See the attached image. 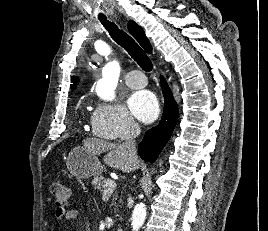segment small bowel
Returning <instances> with one entry per match:
<instances>
[{
	"label": "small bowel",
	"mask_w": 268,
	"mask_h": 231,
	"mask_svg": "<svg viewBox=\"0 0 268 231\" xmlns=\"http://www.w3.org/2000/svg\"><path fill=\"white\" fill-rule=\"evenodd\" d=\"M79 216V212L76 208H57L55 210V217L58 221L60 222H65V221H73L76 220Z\"/></svg>",
	"instance_id": "obj_1"
}]
</instances>
